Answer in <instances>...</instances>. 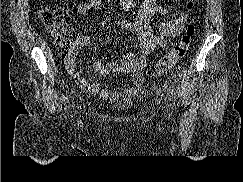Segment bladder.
<instances>
[{"mask_svg": "<svg viewBox=\"0 0 243 182\" xmlns=\"http://www.w3.org/2000/svg\"><path fill=\"white\" fill-rule=\"evenodd\" d=\"M133 107L131 100H122L109 106V109L115 112H126Z\"/></svg>", "mask_w": 243, "mask_h": 182, "instance_id": "31cf9c89", "label": "bladder"}]
</instances>
